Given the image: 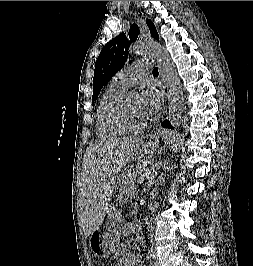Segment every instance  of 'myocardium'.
<instances>
[{
	"mask_svg": "<svg viewBox=\"0 0 253 266\" xmlns=\"http://www.w3.org/2000/svg\"><path fill=\"white\" fill-rule=\"evenodd\" d=\"M132 94L137 93L134 90L123 91L118 97L115 98L108 110L109 123L115 128H118L124 132L137 131L145 124L144 120L138 124L130 123L125 119L122 113V107L125 100Z\"/></svg>",
	"mask_w": 253,
	"mask_h": 266,
	"instance_id": "myocardium-1",
	"label": "myocardium"
}]
</instances>
